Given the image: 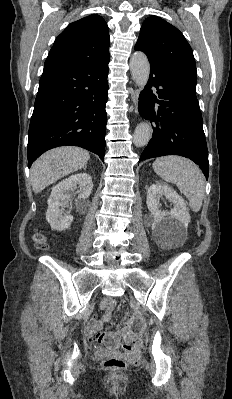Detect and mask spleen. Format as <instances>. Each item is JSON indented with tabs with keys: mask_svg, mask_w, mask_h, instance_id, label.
<instances>
[{
	"mask_svg": "<svg viewBox=\"0 0 232 399\" xmlns=\"http://www.w3.org/2000/svg\"><path fill=\"white\" fill-rule=\"evenodd\" d=\"M152 168L162 180L176 184L180 192L189 200L193 211L201 209L205 178L194 162L180 156H165V158H157Z\"/></svg>",
	"mask_w": 232,
	"mask_h": 399,
	"instance_id": "obj_1",
	"label": "spleen"
}]
</instances>
